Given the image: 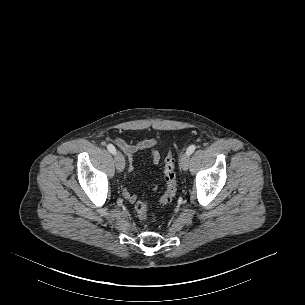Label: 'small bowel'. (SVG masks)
<instances>
[{
  "instance_id": "c3829d8e",
  "label": "small bowel",
  "mask_w": 305,
  "mask_h": 305,
  "mask_svg": "<svg viewBox=\"0 0 305 305\" xmlns=\"http://www.w3.org/2000/svg\"><path fill=\"white\" fill-rule=\"evenodd\" d=\"M115 143L127 155L129 160V170L133 169V158L140 151H150V161L153 165H158L160 162V154L153 149L157 144V141L153 138H146L135 144H130L121 138H116ZM123 196L130 203L135 202L137 198L135 194L131 193L126 188L123 190Z\"/></svg>"
}]
</instances>
